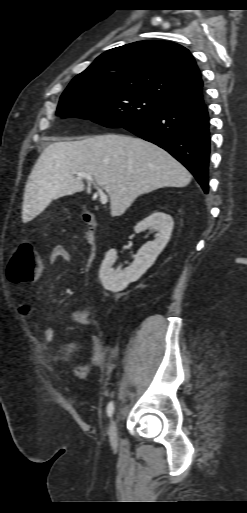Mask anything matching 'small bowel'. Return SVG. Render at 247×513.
<instances>
[{
    "instance_id": "1",
    "label": "small bowel",
    "mask_w": 247,
    "mask_h": 513,
    "mask_svg": "<svg viewBox=\"0 0 247 513\" xmlns=\"http://www.w3.org/2000/svg\"><path fill=\"white\" fill-rule=\"evenodd\" d=\"M71 260L70 252L63 246H56L50 253L49 262L51 264H57L59 262L68 263ZM19 313L25 318L32 317L31 306L27 303H21L18 307ZM72 319L75 323L80 326L87 327L92 324L90 314L87 310H77L73 312ZM36 331L41 335L43 343L47 346L55 340V330L50 326H43L41 324H35ZM81 351V346L77 342H67L60 346L59 351L52 357V360L56 364L65 363L70 356L77 354ZM118 352L117 347H113L111 350L112 354ZM88 360L80 365L73 368V372L78 377H85L88 373L94 369L101 367L104 363L106 351L101 338L97 335H91L88 345Z\"/></svg>"
}]
</instances>
